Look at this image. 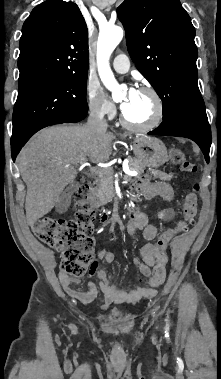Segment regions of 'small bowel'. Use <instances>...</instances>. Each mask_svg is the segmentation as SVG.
<instances>
[{
    "instance_id": "1",
    "label": "small bowel",
    "mask_w": 221,
    "mask_h": 379,
    "mask_svg": "<svg viewBox=\"0 0 221 379\" xmlns=\"http://www.w3.org/2000/svg\"><path fill=\"white\" fill-rule=\"evenodd\" d=\"M135 189L147 199L160 196L169 201L172 200L174 194L173 186L170 183L164 181L151 182L145 177L135 184ZM158 231V227L150 224L148 216L143 212L134 213L127 224V232L130 236L141 232L147 241L154 240L158 235ZM157 254L158 247L154 243H147L141 248V259H135L134 264L143 276L149 277L151 275V269L156 263ZM97 257L99 260L103 259L108 264H112L115 260V254L108 250L99 251ZM92 276L99 280L98 287L104 295V304L101 306V310L107 309L111 304H135L142 298L153 297L155 295L153 290L141 286L134 285L130 288L117 287L113 283L111 273L101 269L99 261H94V264H90V267L87 268L85 278L91 279ZM59 279L65 292L82 304L88 305L97 297L98 288L92 280L88 282L85 291H80L74 288L80 282L78 278L61 272Z\"/></svg>"
}]
</instances>
